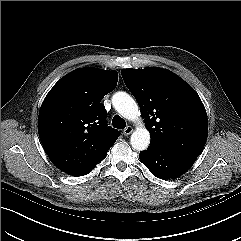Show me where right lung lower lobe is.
<instances>
[{"mask_svg":"<svg viewBox=\"0 0 241 241\" xmlns=\"http://www.w3.org/2000/svg\"><path fill=\"white\" fill-rule=\"evenodd\" d=\"M106 157V155L105 156H103V157H101L100 159H98L97 161H95V162H93V163H91V164H89V165H87V166H85V167H82V168H80V169H77V170H75V171H73V172H71V173H69L70 175H73V176H83V175H86V174H88L95 166H96V164H98L101 160H103L104 158Z\"/></svg>","mask_w":241,"mask_h":241,"instance_id":"obj_1","label":"right lung lower lobe"}]
</instances>
